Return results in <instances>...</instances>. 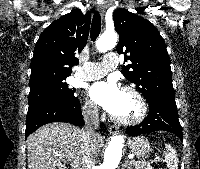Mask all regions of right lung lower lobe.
Instances as JSON below:
<instances>
[{
  "label": "right lung lower lobe",
  "mask_w": 200,
  "mask_h": 169,
  "mask_svg": "<svg viewBox=\"0 0 200 169\" xmlns=\"http://www.w3.org/2000/svg\"><path fill=\"white\" fill-rule=\"evenodd\" d=\"M51 122H69L76 126L84 125L78 98L69 105L50 102L29 106L26 118L25 138L40 126Z\"/></svg>",
  "instance_id": "98d812e1"
}]
</instances>
